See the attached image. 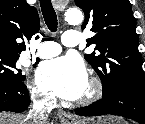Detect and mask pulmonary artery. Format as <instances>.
<instances>
[{"mask_svg":"<svg viewBox=\"0 0 145 124\" xmlns=\"http://www.w3.org/2000/svg\"><path fill=\"white\" fill-rule=\"evenodd\" d=\"M80 40V34L76 30H68L63 34L62 44L65 47H75ZM62 47L60 44L53 41H44L40 43L38 56L41 58H50L60 54Z\"/></svg>","mask_w":145,"mask_h":124,"instance_id":"1","label":"pulmonary artery"}]
</instances>
